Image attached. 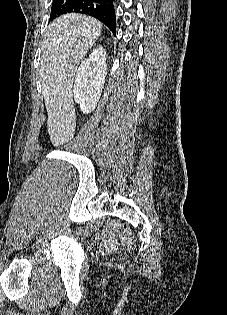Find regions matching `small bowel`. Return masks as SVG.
<instances>
[{"instance_id":"1","label":"small bowel","mask_w":227,"mask_h":315,"mask_svg":"<svg viewBox=\"0 0 227 315\" xmlns=\"http://www.w3.org/2000/svg\"><path fill=\"white\" fill-rule=\"evenodd\" d=\"M118 231V225L112 223L105 228V238L102 241V245L107 248H112L117 245L118 239L116 233Z\"/></svg>"}]
</instances>
